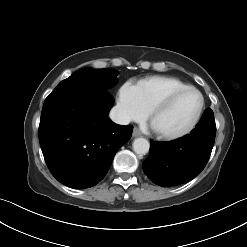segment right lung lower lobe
<instances>
[{
    "label": "right lung lower lobe",
    "instance_id": "1",
    "mask_svg": "<svg viewBox=\"0 0 247 247\" xmlns=\"http://www.w3.org/2000/svg\"><path fill=\"white\" fill-rule=\"evenodd\" d=\"M114 99L104 89L73 88L45 100L39 142L52 175L72 188H89L103 179L133 126L108 117Z\"/></svg>",
    "mask_w": 247,
    "mask_h": 247
}]
</instances>
